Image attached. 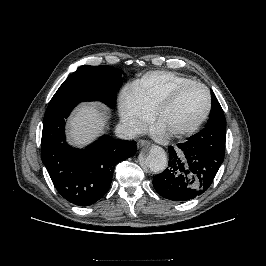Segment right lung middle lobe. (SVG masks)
<instances>
[{
	"mask_svg": "<svg viewBox=\"0 0 266 266\" xmlns=\"http://www.w3.org/2000/svg\"><path fill=\"white\" fill-rule=\"evenodd\" d=\"M123 72L111 66L83 65L59 87L53 98L82 101H101L114 108Z\"/></svg>",
	"mask_w": 266,
	"mask_h": 266,
	"instance_id": "right-lung-middle-lobe-1",
	"label": "right lung middle lobe"
}]
</instances>
